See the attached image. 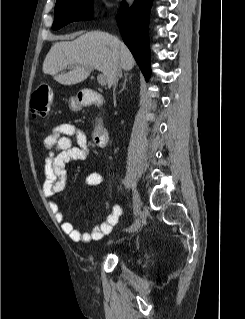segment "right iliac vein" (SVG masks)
I'll use <instances>...</instances> for the list:
<instances>
[{
	"instance_id": "obj_1",
	"label": "right iliac vein",
	"mask_w": 245,
	"mask_h": 319,
	"mask_svg": "<svg viewBox=\"0 0 245 319\" xmlns=\"http://www.w3.org/2000/svg\"><path fill=\"white\" fill-rule=\"evenodd\" d=\"M141 206H142V201H141L140 195L137 189L133 186V209H134L135 215L140 214ZM133 225L135 226V231L138 230V228L140 227V223L137 224L135 222Z\"/></svg>"
}]
</instances>
